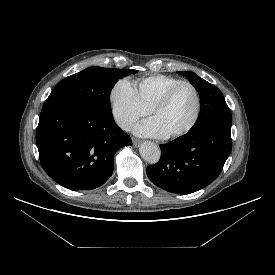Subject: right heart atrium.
Returning <instances> with one entry per match:
<instances>
[{
	"label": "right heart atrium",
	"instance_id": "right-heart-atrium-1",
	"mask_svg": "<svg viewBox=\"0 0 275 275\" xmlns=\"http://www.w3.org/2000/svg\"><path fill=\"white\" fill-rule=\"evenodd\" d=\"M110 102L116 123L124 130H129L149 110L141 102L137 89L129 80H119L111 90Z\"/></svg>",
	"mask_w": 275,
	"mask_h": 275
}]
</instances>
